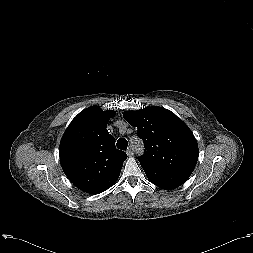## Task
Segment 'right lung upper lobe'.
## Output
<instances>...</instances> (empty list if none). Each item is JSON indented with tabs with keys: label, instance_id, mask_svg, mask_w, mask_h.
Here are the masks:
<instances>
[{
	"label": "right lung upper lobe",
	"instance_id": "obj_1",
	"mask_svg": "<svg viewBox=\"0 0 253 253\" xmlns=\"http://www.w3.org/2000/svg\"><path fill=\"white\" fill-rule=\"evenodd\" d=\"M114 111L91 106L79 113L62 136L59 155L68 179L80 190L99 194L118 179L127 154L106 130Z\"/></svg>",
	"mask_w": 253,
	"mask_h": 253
}]
</instances>
